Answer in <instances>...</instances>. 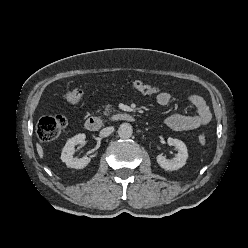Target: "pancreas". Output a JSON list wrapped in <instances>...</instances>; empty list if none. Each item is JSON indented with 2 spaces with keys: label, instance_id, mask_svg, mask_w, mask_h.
<instances>
[{
  "label": "pancreas",
  "instance_id": "1",
  "mask_svg": "<svg viewBox=\"0 0 248 248\" xmlns=\"http://www.w3.org/2000/svg\"><path fill=\"white\" fill-rule=\"evenodd\" d=\"M111 112H112L111 106H107L105 108V111L103 112V114L106 115V116H109Z\"/></svg>",
  "mask_w": 248,
  "mask_h": 248
}]
</instances>
